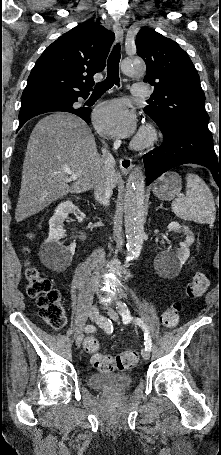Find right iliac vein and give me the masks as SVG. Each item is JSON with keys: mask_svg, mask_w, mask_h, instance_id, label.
<instances>
[{"mask_svg": "<svg viewBox=\"0 0 221 455\" xmlns=\"http://www.w3.org/2000/svg\"><path fill=\"white\" fill-rule=\"evenodd\" d=\"M98 316H99L98 307L96 305H94L91 309L90 318H91V320L96 321L98 319ZM83 337H84L83 334H80L77 337V339H76L77 346H80V344L82 343Z\"/></svg>", "mask_w": 221, "mask_h": 455, "instance_id": "63e3f726", "label": "right iliac vein"}]
</instances>
